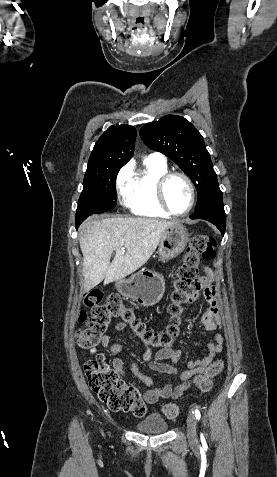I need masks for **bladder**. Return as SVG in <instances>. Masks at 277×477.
<instances>
[{
	"label": "bladder",
	"instance_id": "bladder-1",
	"mask_svg": "<svg viewBox=\"0 0 277 477\" xmlns=\"http://www.w3.org/2000/svg\"><path fill=\"white\" fill-rule=\"evenodd\" d=\"M135 427L142 433L161 434L168 430L169 425L160 415L152 414L138 422Z\"/></svg>",
	"mask_w": 277,
	"mask_h": 477
}]
</instances>
